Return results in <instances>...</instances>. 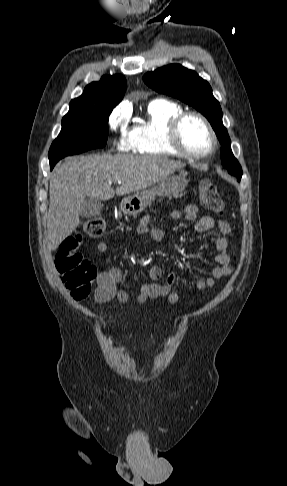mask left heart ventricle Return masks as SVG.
Wrapping results in <instances>:
<instances>
[{
	"label": "left heart ventricle",
	"instance_id": "b2bd125f",
	"mask_svg": "<svg viewBox=\"0 0 287 486\" xmlns=\"http://www.w3.org/2000/svg\"><path fill=\"white\" fill-rule=\"evenodd\" d=\"M181 141L192 152H205L211 147V138L205 126L195 117L188 118L181 127Z\"/></svg>",
	"mask_w": 287,
	"mask_h": 486
}]
</instances>
